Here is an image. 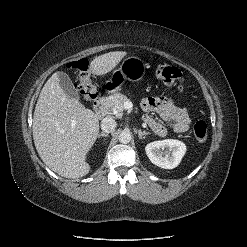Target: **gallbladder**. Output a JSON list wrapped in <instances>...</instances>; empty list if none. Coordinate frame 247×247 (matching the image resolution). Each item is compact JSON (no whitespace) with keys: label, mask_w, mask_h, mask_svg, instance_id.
<instances>
[{"label":"gallbladder","mask_w":247,"mask_h":247,"mask_svg":"<svg viewBox=\"0 0 247 247\" xmlns=\"http://www.w3.org/2000/svg\"><path fill=\"white\" fill-rule=\"evenodd\" d=\"M59 85L64 90V92L71 98L79 99L74 86L66 73L58 72Z\"/></svg>","instance_id":"obj_1"}]
</instances>
